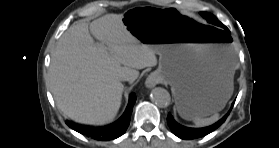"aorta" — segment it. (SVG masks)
I'll list each match as a JSON object with an SVG mask.
<instances>
[{
  "label": "aorta",
  "instance_id": "obj_1",
  "mask_svg": "<svg viewBox=\"0 0 279 148\" xmlns=\"http://www.w3.org/2000/svg\"><path fill=\"white\" fill-rule=\"evenodd\" d=\"M151 99L160 108L168 107L171 102L169 92L161 87H156L151 91Z\"/></svg>",
  "mask_w": 279,
  "mask_h": 148
}]
</instances>
